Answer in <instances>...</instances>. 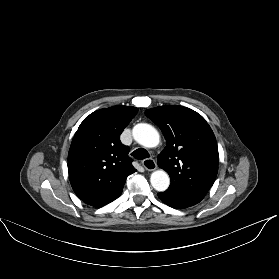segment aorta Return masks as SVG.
<instances>
[{
	"mask_svg": "<svg viewBox=\"0 0 279 279\" xmlns=\"http://www.w3.org/2000/svg\"><path fill=\"white\" fill-rule=\"evenodd\" d=\"M132 134L134 140L142 146L151 148L159 144V133L149 124L140 123L135 125ZM150 182L155 190L163 192L169 187L170 178L164 170H157L151 174Z\"/></svg>",
	"mask_w": 279,
	"mask_h": 279,
	"instance_id": "aorta-1",
	"label": "aorta"
}]
</instances>
